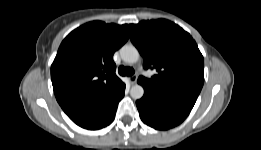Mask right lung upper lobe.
<instances>
[{
    "instance_id": "obj_1",
    "label": "right lung upper lobe",
    "mask_w": 261,
    "mask_h": 150,
    "mask_svg": "<svg viewBox=\"0 0 261 150\" xmlns=\"http://www.w3.org/2000/svg\"><path fill=\"white\" fill-rule=\"evenodd\" d=\"M129 25L93 21L72 31L61 43L51 66L56 99L79 124L124 94L113 54L129 37Z\"/></svg>"
}]
</instances>
